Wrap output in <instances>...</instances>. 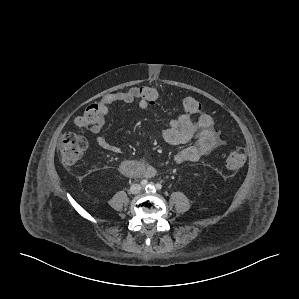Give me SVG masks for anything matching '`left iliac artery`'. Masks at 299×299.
<instances>
[{"label": "left iliac artery", "mask_w": 299, "mask_h": 299, "mask_svg": "<svg viewBox=\"0 0 299 299\" xmlns=\"http://www.w3.org/2000/svg\"><path fill=\"white\" fill-rule=\"evenodd\" d=\"M155 187H156V189H158V190L162 189V185H161L160 183H157V184L155 185ZM153 188H154V186H153ZM146 192H152L151 185L146 186Z\"/></svg>", "instance_id": "1"}]
</instances>
